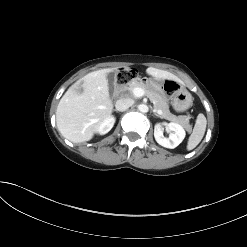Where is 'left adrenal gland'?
<instances>
[{
    "instance_id": "left-adrenal-gland-1",
    "label": "left adrenal gland",
    "mask_w": 247,
    "mask_h": 247,
    "mask_svg": "<svg viewBox=\"0 0 247 247\" xmlns=\"http://www.w3.org/2000/svg\"><path fill=\"white\" fill-rule=\"evenodd\" d=\"M153 112H154V115H155V116H157V117H160V118H161V116H160V115H158V114L155 112V110H153Z\"/></svg>"
}]
</instances>
